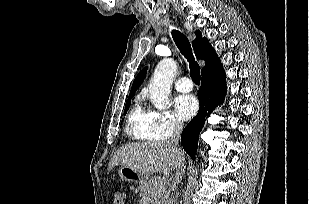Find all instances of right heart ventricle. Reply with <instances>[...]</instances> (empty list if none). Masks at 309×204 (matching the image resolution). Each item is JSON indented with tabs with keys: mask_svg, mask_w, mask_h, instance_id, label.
<instances>
[{
	"mask_svg": "<svg viewBox=\"0 0 309 204\" xmlns=\"http://www.w3.org/2000/svg\"><path fill=\"white\" fill-rule=\"evenodd\" d=\"M150 122V112L146 111L138 100L129 112L126 133L137 140H148V127Z\"/></svg>",
	"mask_w": 309,
	"mask_h": 204,
	"instance_id": "1",
	"label": "right heart ventricle"
}]
</instances>
